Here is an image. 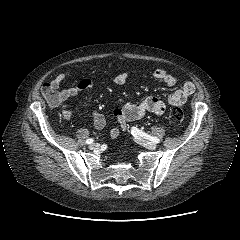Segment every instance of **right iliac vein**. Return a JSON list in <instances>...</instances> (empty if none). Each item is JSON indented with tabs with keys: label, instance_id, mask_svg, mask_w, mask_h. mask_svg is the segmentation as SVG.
Masks as SVG:
<instances>
[{
	"label": "right iliac vein",
	"instance_id": "1",
	"mask_svg": "<svg viewBox=\"0 0 240 240\" xmlns=\"http://www.w3.org/2000/svg\"><path fill=\"white\" fill-rule=\"evenodd\" d=\"M98 147H99V145L97 143H92V144L89 145V148L91 150H96V149H98Z\"/></svg>",
	"mask_w": 240,
	"mask_h": 240
}]
</instances>
